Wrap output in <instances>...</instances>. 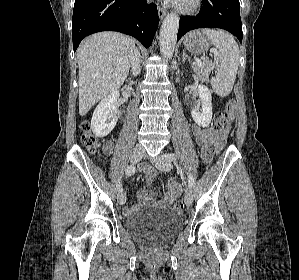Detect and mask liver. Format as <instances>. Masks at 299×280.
<instances>
[{
    "label": "liver",
    "mask_w": 299,
    "mask_h": 280,
    "mask_svg": "<svg viewBox=\"0 0 299 280\" xmlns=\"http://www.w3.org/2000/svg\"><path fill=\"white\" fill-rule=\"evenodd\" d=\"M136 50L131 37L117 32L96 33L83 41L77 50L81 116L120 88Z\"/></svg>",
    "instance_id": "obj_1"
}]
</instances>
